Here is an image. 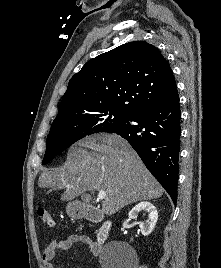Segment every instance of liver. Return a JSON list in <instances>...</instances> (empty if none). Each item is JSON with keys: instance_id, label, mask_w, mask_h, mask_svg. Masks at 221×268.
<instances>
[{"instance_id": "obj_1", "label": "liver", "mask_w": 221, "mask_h": 268, "mask_svg": "<svg viewBox=\"0 0 221 268\" xmlns=\"http://www.w3.org/2000/svg\"><path fill=\"white\" fill-rule=\"evenodd\" d=\"M39 187H65L63 201L87 191H105L102 211L107 215L131 203L159 198L164 192L128 142L115 134L95 135L76 143L63 167L43 171Z\"/></svg>"}]
</instances>
